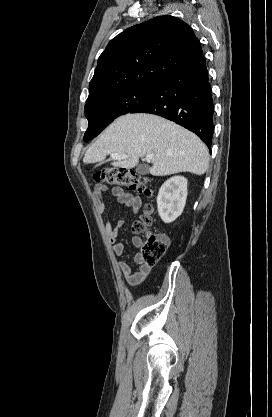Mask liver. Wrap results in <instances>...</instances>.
<instances>
[{
  "instance_id": "6515ba94",
  "label": "liver",
  "mask_w": 272,
  "mask_h": 417,
  "mask_svg": "<svg viewBox=\"0 0 272 417\" xmlns=\"http://www.w3.org/2000/svg\"><path fill=\"white\" fill-rule=\"evenodd\" d=\"M111 153L126 154L114 167L133 168L139 158L154 154L149 172L166 176L179 172L202 175L207 171L209 152L192 132L152 114H127L117 118L85 153V164L103 162Z\"/></svg>"
}]
</instances>
